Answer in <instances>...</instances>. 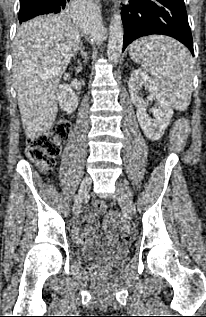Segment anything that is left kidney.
<instances>
[{"label": "left kidney", "instance_id": "5707ae66", "mask_svg": "<svg viewBox=\"0 0 206 317\" xmlns=\"http://www.w3.org/2000/svg\"><path fill=\"white\" fill-rule=\"evenodd\" d=\"M142 85L148 90L149 99L157 103V107L153 109L155 119H151L146 113V106L139 92ZM129 92L132 103L137 107V118L145 136L152 141L158 140L164 134L173 116L172 107L151 77L140 69L134 70L129 78Z\"/></svg>", "mask_w": 206, "mask_h": 317}]
</instances>
